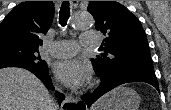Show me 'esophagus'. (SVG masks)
I'll list each match as a JSON object with an SVG mask.
<instances>
[{
  "instance_id": "34e87169",
  "label": "esophagus",
  "mask_w": 171,
  "mask_h": 110,
  "mask_svg": "<svg viewBox=\"0 0 171 110\" xmlns=\"http://www.w3.org/2000/svg\"><path fill=\"white\" fill-rule=\"evenodd\" d=\"M69 2L73 8H76L78 6V1H69ZM63 105L64 107L67 108V110H76L77 101L71 95H68L66 96Z\"/></svg>"
}]
</instances>
